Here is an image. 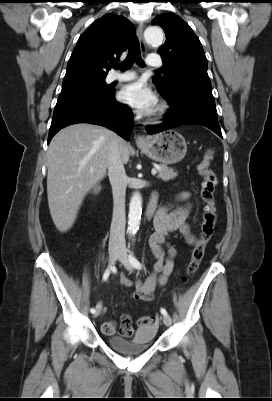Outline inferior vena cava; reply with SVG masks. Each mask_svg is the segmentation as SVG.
Returning a JSON list of instances; mask_svg holds the SVG:
<instances>
[{
  "label": "inferior vena cava",
  "instance_id": "1",
  "mask_svg": "<svg viewBox=\"0 0 272 401\" xmlns=\"http://www.w3.org/2000/svg\"><path fill=\"white\" fill-rule=\"evenodd\" d=\"M108 176L113 193V216L110 228V245L125 244V198L127 187V175L123 165V160L118 144V139H114L110 145L108 159Z\"/></svg>",
  "mask_w": 272,
  "mask_h": 401
}]
</instances>
